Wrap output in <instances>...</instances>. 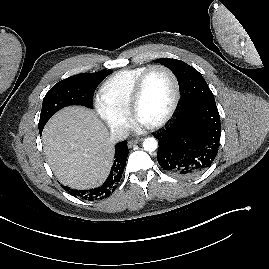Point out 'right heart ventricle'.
I'll use <instances>...</instances> for the list:
<instances>
[{
    "label": "right heart ventricle",
    "mask_w": 269,
    "mask_h": 269,
    "mask_svg": "<svg viewBox=\"0 0 269 269\" xmlns=\"http://www.w3.org/2000/svg\"><path fill=\"white\" fill-rule=\"evenodd\" d=\"M148 66L120 70L111 75L101 87V97L112 107L129 113V103L135 83Z\"/></svg>",
    "instance_id": "obj_1"
}]
</instances>
